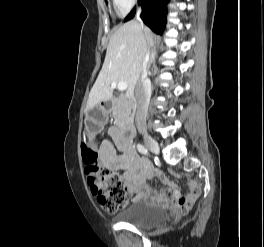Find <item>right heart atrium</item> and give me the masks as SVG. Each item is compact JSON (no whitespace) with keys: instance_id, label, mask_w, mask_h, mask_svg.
<instances>
[{"instance_id":"obj_1","label":"right heart atrium","mask_w":264,"mask_h":247,"mask_svg":"<svg viewBox=\"0 0 264 247\" xmlns=\"http://www.w3.org/2000/svg\"><path fill=\"white\" fill-rule=\"evenodd\" d=\"M138 0H113L114 6L120 15H125Z\"/></svg>"}]
</instances>
